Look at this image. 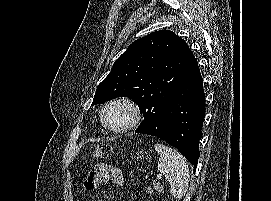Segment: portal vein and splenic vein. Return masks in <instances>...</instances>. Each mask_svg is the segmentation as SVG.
Masks as SVG:
<instances>
[{
  "label": "portal vein and splenic vein",
  "mask_w": 271,
  "mask_h": 201,
  "mask_svg": "<svg viewBox=\"0 0 271 201\" xmlns=\"http://www.w3.org/2000/svg\"><path fill=\"white\" fill-rule=\"evenodd\" d=\"M162 175L161 174H159V175H157V179H162Z\"/></svg>",
  "instance_id": "18ae733b"
}]
</instances>
